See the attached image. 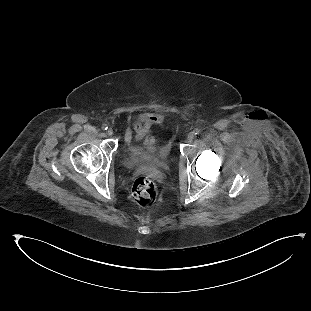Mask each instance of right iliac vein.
<instances>
[{
	"instance_id": "obj_1",
	"label": "right iliac vein",
	"mask_w": 311,
	"mask_h": 311,
	"mask_svg": "<svg viewBox=\"0 0 311 311\" xmlns=\"http://www.w3.org/2000/svg\"><path fill=\"white\" fill-rule=\"evenodd\" d=\"M107 134H108L109 136L113 135V130H112L111 128H109V129L107 130Z\"/></svg>"
}]
</instances>
